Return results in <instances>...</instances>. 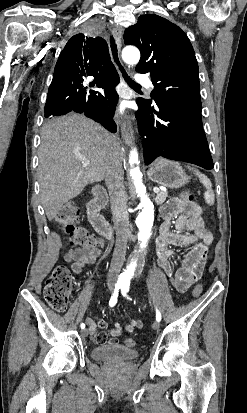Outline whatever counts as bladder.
Returning <instances> with one entry per match:
<instances>
[{"mask_svg":"<svg viewBox=\"0 0 247 413\" xmlns=\"http://www.w3.org/2000/svg\"><path fill=\"white\" fill-rule=\"evenodd\" d=\"M93 360L99 361H130L137 358L138 352L122 345H104L92 349Z\"/></svg>","mask_w":247,"mask_h":413,"instance_id":"1","label":"bladder"}]
</instances>
